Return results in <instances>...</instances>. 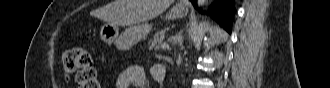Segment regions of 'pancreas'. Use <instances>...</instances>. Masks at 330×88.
<instances>
[{
    "instance_id": "obj_1",
    "label": "pancreas",
    "mask_w": 330,
    "mask_h": 88,
    "mask_svg": "<svg viewBox=\"0 0 330 88\" xmlns=\"http://www.w3.org/2000/svg\"><path fill=\"white\" fill-rule=\"evenodd\" d=\"M166 31H167V29H164L162 31L155 33L153 39L150 41L151 42L150 49H155V50H159V49L169 50L170 49V46L166 42H163V38H164ZM172 44H176V41H173Z\"/></svg>"
}]
</instances>
